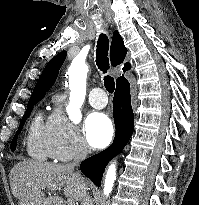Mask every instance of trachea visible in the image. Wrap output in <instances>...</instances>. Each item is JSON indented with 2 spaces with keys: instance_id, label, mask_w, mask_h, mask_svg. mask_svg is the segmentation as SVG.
I'll return each mask as SVG.
<instances>
[{
  "instance_id": "3493384b",
  "label": "trachea",
  "mask_w": 199,
  "mask_h": 205,
  "mask_svg": "<svg viewBox=\"0 0 199 205\" xmlns=\"http://www.w3.org/2000/svg\"><path fill=\"white\" fill-rule=\"evenodd\" d=\"M109 39L105 34H100L97 41L96 48V64L100 71L104 74L109 70V59H108ZM104 86L109 93H113L115 90L114 78L106 75L104 76Z\"/></svg>"
}]
</instances>
